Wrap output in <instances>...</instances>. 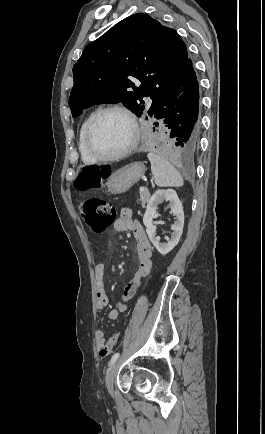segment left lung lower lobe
<instances>
[{"label": "left lung lower lobe", "mask_w": 265, "mask_h": 434, "mask_svg": "<svg viewBox=\"0 0 265 434\" xmlns=\"http://www.w3.org/2000/svg\"><path fill=\"white\" fill-rule=\"evenodd\" d=\"M153 115L164 121L171 140L152 149L160 153L177 150L184 155L196 151L201 131L199 83L190 58L160 98Z\"/></svg>", "instance_id": "0a47b994"}]
</instances>
